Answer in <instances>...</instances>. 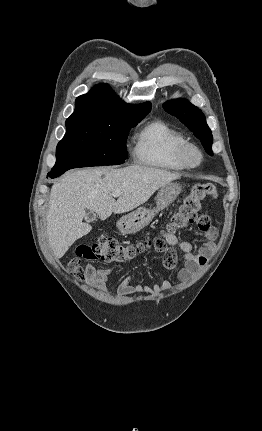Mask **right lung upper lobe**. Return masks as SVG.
<instances>
[{"mask_svg":"<svg viewBox=\"0 0 262 431\" xmlns=\"http://www.w3.org/2000/svg\"><path fill=\"white\" fill-rule=\"evenodd\" d=\"M150 109L149 102L140 105L127 104L120 100L108 85L99 84L76 99L75 111L66 120V124L134 118L147 115Z\"/></svg>","mask_w":262,"mask_h":431,"instance_id":"cb5924a9","label":"right lung upper lobe"}]
</instances>
